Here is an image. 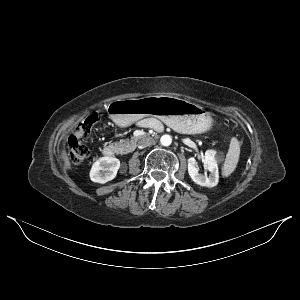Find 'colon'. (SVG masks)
<instances>
[{"label": "colon", "instance_id": "obj_1", "mask_svg": "<svg viewBox=\"0 0 300 300\" xmlns=\"http://www.w3.org/2000/svg\"><path fill=\"white\" fill-rule=\"evenodd\" d=\"M96 121V115L92 114L88 116L78 123L73 128L72 133L67 137V155L73 164H81L89 156L90 151L84 139H88Z\"/></svg>", "mask_w": 300, "mask_h": 300}]
</instances>
